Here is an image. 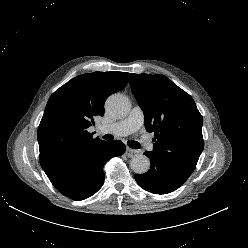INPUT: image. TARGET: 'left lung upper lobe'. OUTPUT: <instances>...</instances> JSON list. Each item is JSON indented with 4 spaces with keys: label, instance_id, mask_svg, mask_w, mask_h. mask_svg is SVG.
<instances>
[{
    "label": "left lung upper lobe",
    "instance_id": "left-lung-upper-lobe-1",
    "mask_svg": "<svg viewBox=\"0 0 248 248\" xmlns=\"http://www.w3.org/2000/svg\"><path fill=\"white\" fill-rule=\"evenodd\" d=\"M130 85L146 130L154 132L150 155L187 180L204 148L203 118L194 100L160 74H132Z\"/></svg>",
    "mask_w": 248,
    "mask_h": 248
}]
</instances>
